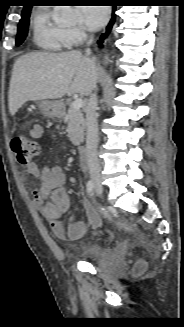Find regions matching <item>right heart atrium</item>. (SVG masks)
<instances>
[{
	"label": "right heart atrium",
	"instance_id": "d8ad5b80",
	"mask_svg": "<svg viewBox=\"0 0 184 327\" xmlns=\"http://www.w3.org/2000/svg\"><path fill=\"white\" fill-rule=\"evenodd\" d=\"M67 38L69 46L76 47L82 44L87 38V33L80 27H72L67 29Z\"/></svg>",
	"mask_w": 184,
	"mask_h": 327
}]
</instances>
